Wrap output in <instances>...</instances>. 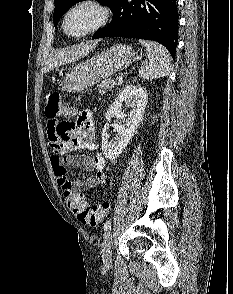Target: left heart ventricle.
I'll list each match as a JSON object with an SVG mask.
<instances>
[{"instance_id":"left-heart-ventricle-1","label":"left heart ventricle","mask_w":233,"mask_h":294,"mask_svg":"<svg viewBox=\"0 0 233 294\" xmlns=\"http://www.w3.org/2000/svg\"><path fill=\"white\" fill-rule=\"evenodd\" d=\"M99 17L98 11L90 6L74 10L68 17L66 28L71 34H80L95 25Z\"/></svg>"}]
</instances>
